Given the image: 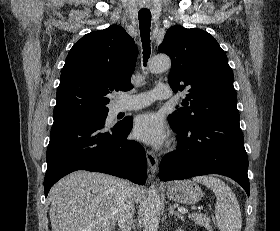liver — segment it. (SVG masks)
Listing matches in <instances>:
<instances>
[{
	"mask_svg": "<svg viewBox=\"0 0 280 231\" xmlns=\"http://www.w3.org/2000/svg\"><path fill=\"white\" fill-rule=\"evenodd\" d=\"M118 177L94 171H73L50 189L52 231H112L117 221ZM143 189L134 185L135 201Z\"/></svg>",
	"mask_w": 280,
	"mask_h": 231,
	"instance_id": "obj_1",
	"label": "liver"
}]
</instances>
